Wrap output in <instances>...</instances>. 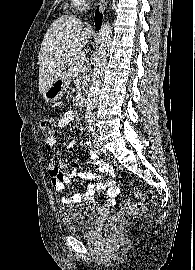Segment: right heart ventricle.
I'll use <instances>...</instances> for the list:
<instances>
[{"mask_svg":"<svg viewBox=\"0 0 195 270\" xmlns=\"http://www.w3.org/2000/svg\"><path fill=\"white\" fill-rule=\"evenodd\" d=\"M77 4H79V2L77 0H74Z\"/></svg>","mask_w":195,"mask_h":270,"instance_id":"1","label":"right heart ventricle"}]
</instances>
